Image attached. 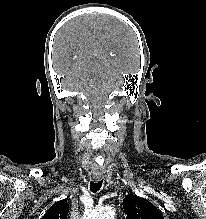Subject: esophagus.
I'll use <instances>...</instances> for the list:
<instances>
[{"label": "esophagus", "mask_w": 206, "mask_h": 219, "mask_svg": "<svg viewBox=\"0 0 206 219\" xmlns=\"http://www.w3.org/2000/svg\"><path fill=\"white\" fill-rule=\"evenodd\" d=\"M101 174H94L93 175V179L95 180V181H100L101 180Z\"/></svg>", "instance_id": "esophagus-1"}]
</instances>
